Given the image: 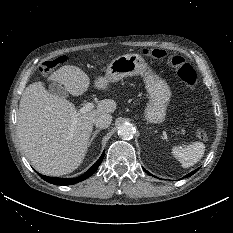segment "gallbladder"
I'll use <instances>...</instances> for the list:
<instances>
[{"label":"gallbladder","instance_id":"gallbladder-1","mask_svg":"<svg viewBox=\"0 0 233 233\" xmlns=\"http://www.w3.org/2000/svg\"><path fill=\"white\" fill-rule=\"evenodd\" d=\"M49 92L60 97H67L66 89L62 85L55 82L49 84Z\"/></svg>","mask_w":233,"mask_h":233}]
</instances>
